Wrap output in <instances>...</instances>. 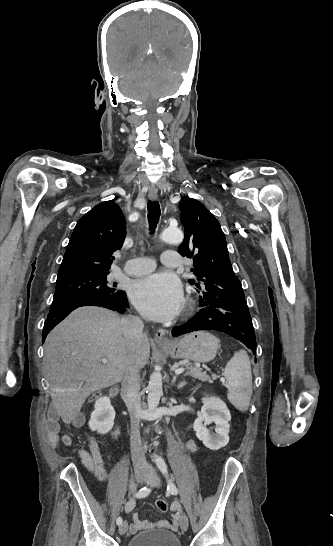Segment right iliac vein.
I'll return each mask as SVG.
<instances>
[{"mask_svg":"<svg viewBox=\"0 0 333 546\" xmlns=\"http://www.w3.org/2000/svg\"><path fill=\"white\" fill-rule=\"evenodd\" d=\"M135 477H136L137 482L141 483V482L146 481L147 474H146V472H144L142 470H138V471L135 472ZM127 530H128V523L125 521L119 527V534L124 535L127 532Z\"/></svg>","mask_w":333,"mask_h":546,"instance_id":"right-iliac-vein-1","label":"right iliac vein"}]
</instances>
